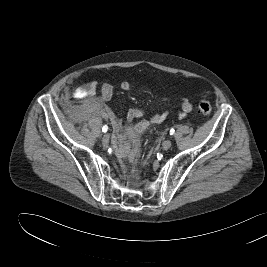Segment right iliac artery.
<instances>
[{
  "label": "right iliac artery",
  "instance_id": "82829eb1",
  "mask_svg": "<svg viewBox=\"0 0 267 267\" xmlns=\"http://www.w3.org/2000/svg\"><path fill=\"white\" fill-rule=\"evenodd\" d=\"M107 130H108V127H107L106 125L103 126L102 131H103V132H107Z\"/></svg>",
  "mask_w": 267,
  "mask_h": 267
}]
</instances>
